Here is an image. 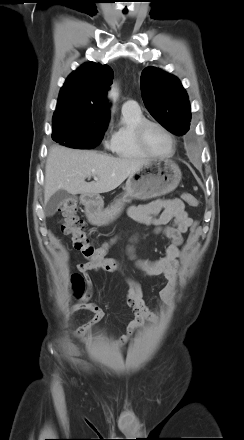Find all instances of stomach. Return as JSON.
Masks as SVG:
<instances>
[{"label": "stomach", "instance_id": "0dacf381", "mask_svg": "<svg viewBox=\"0 0 244 440\" xmlns=\"http://www.w3.org/2000/svg\"><path fill=\"white\" fill-rule=\"evenodd\" d=\"M182 173L179 166L169 159L147 161L142 168L131 174L125 184V194L109 207L104 208L99 195L81 196L87 217L93 225H105L116 219L126 203L132 199H150L174 191L179 185Z\"/></svg>", "mask_w": 244, "mask_h": 440}]
</instances>
